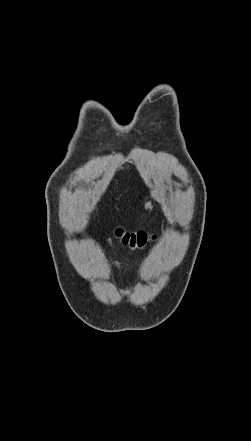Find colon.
<instances>
[{
    "label": "colon",
    "instance_id": "5ec220e1",
    "mask_svg": "<svg viewBox=\"0 0 251 441\" xmlns=\"http://www.w3.org/2000/svg\"><path fill=\"white\" fill-rule=\"evenodd\" d=\"M115 234L123 245L131 249H141L156 238L155 234H150L145 231L126 232L122 229H117Z\"/></svg>",
    "mask_w": 251,
    "mask_h": 441
}]
</instances>
